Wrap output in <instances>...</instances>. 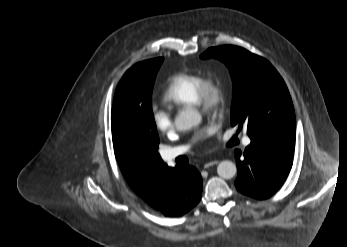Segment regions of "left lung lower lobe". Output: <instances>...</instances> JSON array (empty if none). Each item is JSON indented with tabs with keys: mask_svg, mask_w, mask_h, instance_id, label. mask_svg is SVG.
<instances>
[{
	"mask_svg": "<svg viewBox=\"0 0 347 247\" xmlns=\"http://www.w3.org/2000/svg\"><path fill=\"white\" fill-rule=\"evenodd\" d=\"M295 141L282 138L251 140L242 153L235 150L236 188L256 199L272 196L285 181L293 164Z\"/></svg>",
	"mask_w": 347,
	"mask_h": 247,
	"instance_id": "obj_1",
	"label": "left lung lower lobe"
}]
</instances>
